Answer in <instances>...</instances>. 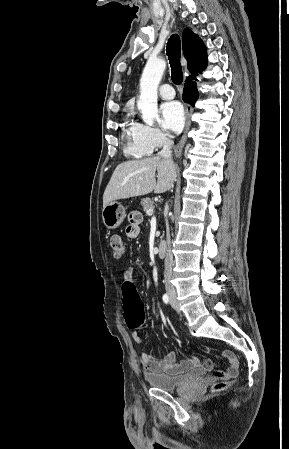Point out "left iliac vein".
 Returning a JSON list of instances; mask_svg holds the SVG:
<instances>
[{"instance_id": "obj_1", "label": "left iliac vein", "mask_w": 289, "mask_h": 449, "mask_svg": "<svg viewBox=\"0 0 289 449\" xmlns=\"http://www.w3.org/2000/svg\"><path fill=\"white\" fill-rule=\"evenodd\" d=\"M171 305L173 308H176V305L171 301Z\"/></svg>"}]
</instances>
